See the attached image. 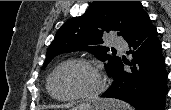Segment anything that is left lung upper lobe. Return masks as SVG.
Returning a JSON list of instances; mask_svg holds the SVG:
<instances>
[{"mask_svg":"<svg viewBox=\"0 0 171 110\" xmlns=\"http://www.w3.org/2000/svg\"><path fill=\"white\" fill-rule=\"evenodd\" d=\"M147 16L140 1H94L82 16L72 18L60 27L41 69L61 53L90 51L107 61L104 66L112 76L121 59L107 54L109 48L101 45L103 34L119 31L118 35L127 41Z\"/></svg>","mask_w":171,"mask_h":110,"instance_id":"1","label":"left lung upper lobe"}]
</instances>
